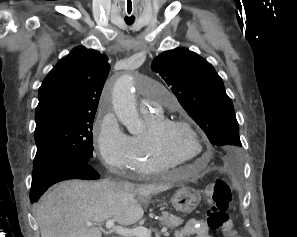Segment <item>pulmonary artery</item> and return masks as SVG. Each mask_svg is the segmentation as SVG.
<instances>
[{"instance_id":"e3ab8cb5","label":"pulmonary artery","mask_w":297,"mask_h":237,"mask_svg":"<svg viewBox=\"0 0 297 237\" xmlns=\"http://www.w3.org/2000/svg\"><path fill=\"white\" fill-rule=\"evenodd\" d=\"M148 92L152 96V98L148 99V101L144 102L141 106L142 112L149 111V108L159 109L161 107L175 108L177 102L173 95L169 92L159 93L152 89H148Z\"/></svg>"}]
</instances>
